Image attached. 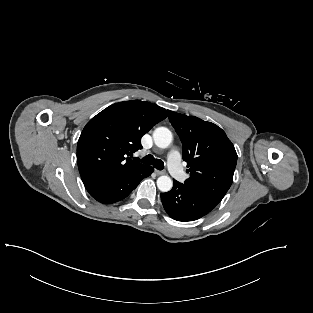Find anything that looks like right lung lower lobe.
<instances>
[{
	"label": "right lung lower lobe",
	"mask_w": 313,
	"mask_h": 313,
	"mask_svg": "<svg viewBox=\"0 0 313 313\" xmlns=\"http://www.w3.org/2000/svg\"><path fill=\"white\" fill-rule=\"evenodd\" d=\"M153 170L151 166H145L115 178L84 183V186L97 201L103 204H112L127 197L142 179L152 174Z\"/></svg>",
	"instance_id": "98d812e1"
}]
</instances>
